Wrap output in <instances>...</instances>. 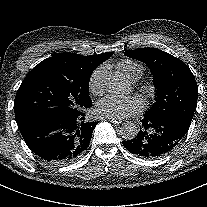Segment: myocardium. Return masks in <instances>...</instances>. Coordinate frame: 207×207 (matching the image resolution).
Wrapping results in <instances>:
<instances>
[{
  "label": "myocardium",
  "instance_id": "myocardium-1",
  "mask_svg": "<svg viewBox=\"0 0 207 207\" xmlns=\"http://www.w3.org/2000/svg\"><path fill=\"white\" fill-rule=\"evenodd\" d=\"M140 92L149 98H152L156 95L157 93V87L153 82H148L144 85L141 86Z\"/></svg>",
  "mask_w": 207,
  "mask_h": 207
}]
</instances>
